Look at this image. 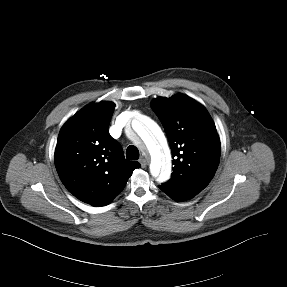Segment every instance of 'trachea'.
I'll use <instances>...</instances> for the list:
<instances>
[{"label": "trachea", "instance_id": "obj_1", "mask_svg": "<svg viewBox=\"0 0 287 287\" xmlns=\"http://www.w3.org/2000/svg\"><path fill=\"white\" fill-rule=\"evenodd\" d=\"M126 158L129 160H137L139 158V150L133 145L128 146Z\"/></svg>", "mask_w": 287, "mask_h": 287}]
</instances>
